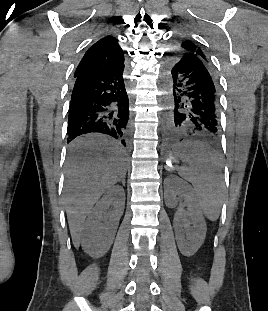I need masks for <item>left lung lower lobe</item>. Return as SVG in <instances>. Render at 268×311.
Masks as SVG:
<instances>
[{
  "label": "left lung lower lobe",
  "instance_id": "0a47b994",
  "mask_svg": "<svg viewBox=\"0 0 268 311\" xmlns=\"http://www.w3.org/2000/svg\"><path fill=\"white\" fill-rule=\"evenodd\" d=\"M166 78L174 96L167 119V141L204 140L217 143L221 135L218 81L210 62L175 54L166 61Z\"/></svg>",
  "mask_w": 268,
  "mask_h": 311
}]
</instances>
